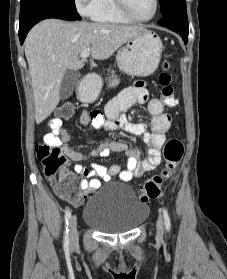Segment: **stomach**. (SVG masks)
<instances>
[{"instance_id": "obj_1", "label": "stomach", "mask_w": 227, "mask_h": 279, "mask_svg": "<svg viewBox=\"0 0 227 279\" xmlns=\"http://www.w3.org/2000/svg\"><path fill=\"white\" fill-rule=\"evenodd\" d=\"M163 45L160 37L142 28L129 39L116 56L121 71L134 76H148L154 73L159 65ZM114 79L110 86H116ZM102 89L100 81H86L78 89V97L83 102H94Z\"/></svg>"}]
</instances>
